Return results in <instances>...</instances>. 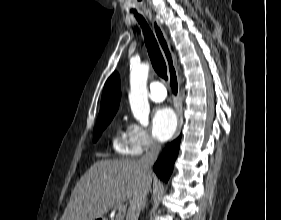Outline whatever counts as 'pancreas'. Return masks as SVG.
<instances>
[{"mask_svg": "<svg viewBox=\"0 0 281 220\" xmlns=\"http://www.w3.org/2000/svg\"><path fill=\"white\" fill-rule=\"evenodd\" d=\"M124 216L122 214H118L115 218V220H123Z\"/></svg>", "mask_w": 281, "mask_h": 220, "instance_id": "obj_1", "label": "pancreas"}]
</instances>
